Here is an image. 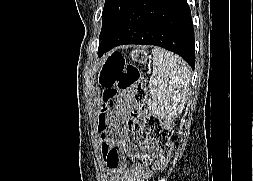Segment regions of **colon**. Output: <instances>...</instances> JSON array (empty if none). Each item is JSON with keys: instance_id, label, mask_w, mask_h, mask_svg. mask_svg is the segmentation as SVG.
<instances>
[{"instance_id": "colon-1", "label": "colon", "mask_w": 253, "mask_h": 181, "mask_svg": "<svg viewBox=\"0 0 253 181\" xmlns=\"http://www.w3.org/2000/svg\"><path fill=\"white\" fill-rule=\"evenodd\" d=\"M99 82L104 89V102H108L116 92L132 94L136 106L130 111L131 116L135 118L137 126L148 131L151 140L156 144L159 158L155 168L163 167L173 149L171 131L165 128L157 117L144 110L148 93L138 67L126 64L121 55L113 54L105 63L99 75Z\"/></svg>"}]
</instances>
